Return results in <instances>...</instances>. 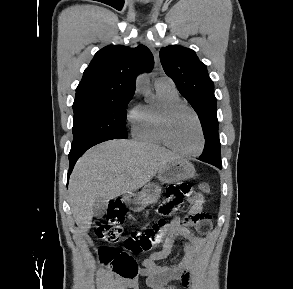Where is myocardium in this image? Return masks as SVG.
Here are the masks:
<instances>
[{"label":"myocardium","mask_w":293,"mask_h":289,"mask_svg":"<svg viewBox=\"0 0 293 289\" xmlns=\"http://www.w3.org/2000/svg\"><path fill=\"white\" fill-rule=\"evenodd\" d=\"M180 110H187L188 112L191 113L193 118L195 119L199 134H200V146L196 152L189 153L180 150L172 141L171 136H170V124L173 116L179 112ZM160 128H161V135L163 137V140L171 150L176 152L177 154L188 157V158H193L197 157L202 154L205 148V134L203 130V126L201 123V120L198 116V114L195 112L193 108H191L189 105L183 103V102H177V103H172L169 104L165 107L162 108L161 110V118H160Z\"/></svg>","instance_id":"f54148a6"}]
</instances>
